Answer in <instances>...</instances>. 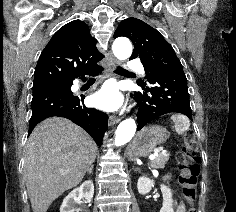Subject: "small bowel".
I'll return each mask as SVG.
<instances>
[{
    "label": "small bowel",
    "mask_w": 236,
    "mask_h": 212,
    "mask_svg": "<svg viewBox=\"0 0 236 212\" xmlns=\"http://www.w3.org/2000/svg\"><path fill=\"white\" fill-rule=\"evenodd\" d=\"M175 212H185V207H184L183 203L176 204Z\"/></svg>",
    "instance_id": "obj_1"
}]
</instances>
